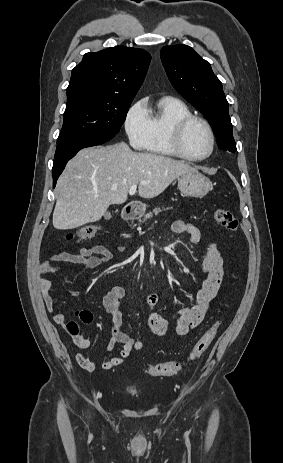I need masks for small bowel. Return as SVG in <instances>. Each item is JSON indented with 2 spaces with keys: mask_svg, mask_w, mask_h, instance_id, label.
<instances>
[{
  "mask_svg": "<svg viewBox=\"0 0 283 463\" xmlns=\"http://www.w3.org/2000/svg\"><path fill=\"white\" fill-rule=\"evenodd\" d=\"M172 231L175 234H187L191 246H196L201 240L200 230L191 223L177 220L172 224ZM123 252L122 247H118ZM112 259L111 251L104 245L96 244L91 248H79L78 253L57 252L41 263L38 288L45 308L52 314L55 322L63 324L64 316L56 310V306L49 291L51 282L44 276L59 269V263H68L83 267L91 271ZM201 273L205 276L202 287L196 294L192 306L180 309L176 314L174 332L181 336L187 334L192 328L198 326L204 319L212 300L217 295L224 277L223 258L216 243L211 242L207 246V252L201 264ZM127 293L123 287L116 286L102 299L101 305L110 315L111 329L110 340L107 350L111 351L116 344H121L122 349L118 356L111 357L101 364L103 370H110L124 363L132 350H141L143 343L123 331L122 302ZM159 301L157 293H150L146 297V304L150 310L147 325L151 333L157 337H165L169 330V322L154 311ZM72 339L79 349L89 348L90 342L79 336H72ZM78 364L86 371L96 370V364L87 358L83 353L76 355Z\"/></svg>",
  "mask_w": 283,
  "mask_h": 463,
  "instance_id": "obj_1",
  "label": "small bowel"
}]
</instances>
